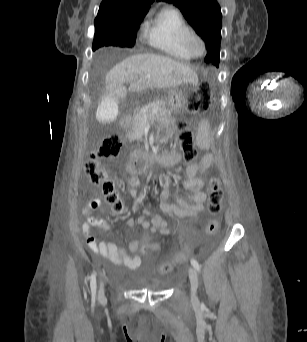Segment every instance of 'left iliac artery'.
I'll list each match as a JSON object with an SVG mask.
<instances>
[{
	"label": "left iliac artery",
	"instance_id": "obj_1",
	"mask_svg": "<svg viewBox=\"0 0 307 342\" xmlns=\"http://www.w3.org/2000/svg\"><path fill=\"white\" fill-rule=\"evenodd\" d=\"M191 265H192L197 271H200V269H201L200 264H199L195 259H191Z\"/></svg>",
	"mask_w": 307,
	"mask_h": 342
}]
</instances>
